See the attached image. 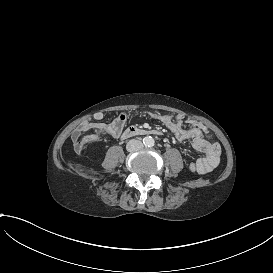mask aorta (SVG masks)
Returning a JSON list of instances; mask_svg holds the SVG:
<instances>
[{"mask_svg": "<svg viewBox=\"0 0 273 273\" xmlns=\"http://www.w3.org/2000/svg\"><path fill=\"white\" fill-rule=\"evenodd\" d=\"M145 144L148 146H153L154 145V139L151 136H148L145 138Z\"/></svg>", "mask_w": 273, "mask_h": 273, "instance_id": "1", "label": "aorta"}]
</instances>
